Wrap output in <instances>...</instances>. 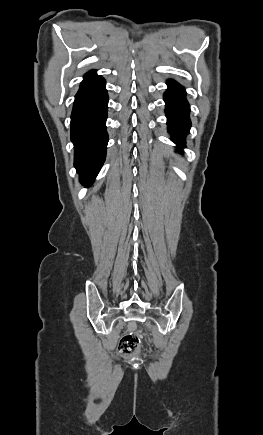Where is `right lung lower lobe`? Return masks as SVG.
<instances>
[{"instance_id":"right-lung-lower-lobe-1","label":"right lung lower lobe","mask_w":263,"mask_h":435,"mask_svg":"<svg viewBox=\"0 0 263 435\" xmlns=\"http://www.w3.org/2000/svg\"><path fill=\"white\" fill-rule=\"evenodd\" d=\"M105 85V80L96 74V70L85 74L71 114L74 166L85 186L92 184L106 156L108 94Z\"/></svg>"}]
</instances>
